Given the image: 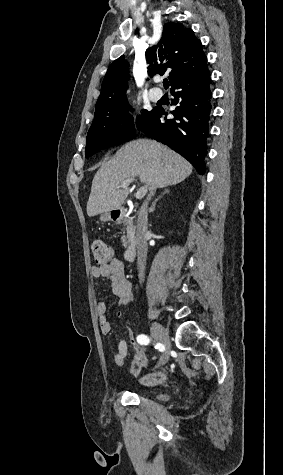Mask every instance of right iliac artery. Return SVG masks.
I'll list each match as a JSON object with an SVG mask.
<instances>
[{
    "label": "right iliac artery",
    "instance_id": "right-iliac-artery-1",
    "mask_svg": "<svg viewBox=\"0 0 283 475\" xmlns=\"http://www.w3.org/2000/svg\"><path fill=\"white\" fill-rule=\"evenodd\" d=\"M137 342L141 345H148L150 342V339L146 335L141 334L137 337Z\"/></svg>",
    "mask_w": 283,
    "mask_h": 475
}]
</instances>
